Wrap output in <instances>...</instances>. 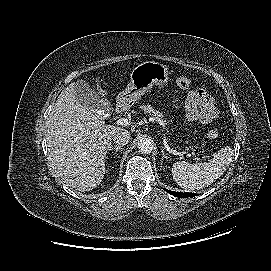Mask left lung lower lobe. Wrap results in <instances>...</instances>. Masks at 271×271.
<instances>
[{
	"mask_svg": "<svg viewBox=\"0 0 271 271\" xmlns=\"http://www.w3.org/2000/svg\"><path fill=\"white\" fill-rule=\"evenodd\" d=\"M165 191H167L168 193H170L171 195L175 196V197H194V196H197V194L195 193H182V192H174V191H171V190H167V189H164Z\"/></svg>",
	"mask_w": 271,
	"mask_h": 271,
	"instance_id": "obj_1",
	"label": "left lung lower lobe"
}]
</instances>
